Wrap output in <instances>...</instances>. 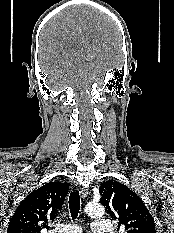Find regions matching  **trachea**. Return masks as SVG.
I'll return each mask as SVG.
<instances>
[{
	"label": "trachea",
	"mask_w": 174,
	"mask_h": 233,
	"mask_svg": "<svg viewBox=\"0 0 174 233\" xmlns=\"http://www.w3.org/2000/svg\"><path fill=\"white\" fill-rule=\"evenodd\" d=\"M69 209L73 219H76L80 211V195L74 191L69 196Z\"/></svg>",
	"instance_id": "obj_1"
}]
</instances>
